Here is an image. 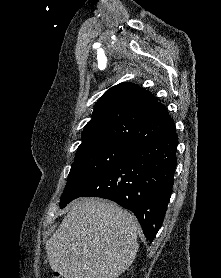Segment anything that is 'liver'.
<instances>
[{
    "instance_id": "1",
    "label": "liver",
    "mask_w": 221,
    "mask_h": 278,
    "mask_svg": "<svg viewBox=\"0 0 221 278\" xmlns=\"http://www.w3.org/2000/svg\"><path fill=\"white\" fill-rule=\"evenodd\" d=\"M138 222L116 203L82 198L46 243L51 268L65 278H117L136 258Z\"/></svg>"
}]
</instances>
